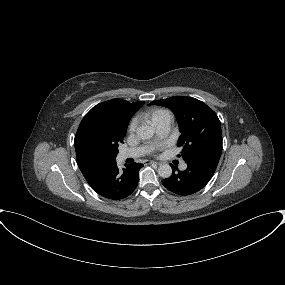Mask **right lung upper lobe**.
<instances>
[{
	"label": "right lung upper lobe",
	"instance_id": "obj_1",
	"mask_svg": "<svg viewBox=\"0 0 285 285\" xmlns=\"http://www.w3.org/2000/svg\"><path fill=\"white\" fill-rule=\"evenodd\" d=\"M144 101L112 99L94 106L82 119L74 139L77 164L83 175L116 162L129 120Z\"/></svg>",
	"mask_w": 285,
	"mask_h": 285
}]
</instances>
